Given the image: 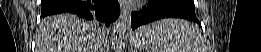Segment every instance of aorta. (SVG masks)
Listing matches in <instances>:
<instances>
[{
    "mask_svg": "<svg viewBox=\"0 0 261 52\" xmlns=\"http://www.w3.org/2000/svg\"><path fill=\"white\" fill-rule=\"evenodd\" d=\"M130 29L129 21L122 19L119 20L112 29V44L116 49L123 45V42L128 35Z\"/></svg>",
    "mask_w": 261,
    "mask_h": 52,
    "instance_id": "1",
    "label": "aorta"
}]
</instances>
